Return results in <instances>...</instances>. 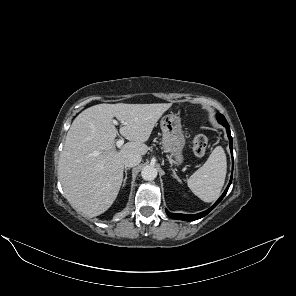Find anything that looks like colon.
Instances as JSON below:
<instances>
[{"label":"colon","instance_id":"1","mask_svg":"<svg viewBox=\"0 0 296 296\" xmlns=\"http://www.w3.org/2000/svg\"><path fill=\"white\" fill-rule=\"evenodd\" d=\"M208 146V140L204 135H196L193 139V151L196 156H203Z\"/></svg>","mask_w":296,"mask_h":296}]
</instances>
